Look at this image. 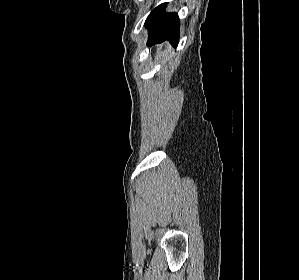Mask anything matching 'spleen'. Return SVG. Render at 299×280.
<instances>
[{
  "instance_id": "spleen-1",
  "label": "spleen",
  "mask_w": 299,
  "mask_h": 280,
  "mask_svg": "<svg viewBox=\"0 0 299 280\" xmlns=\"http://www.w3.org/2000/svg\"><path fill=\"white\" fill-rule=\"evenodd\" d=\"M166 55H167V54H164V53H163V55H162V56H163V57H165Z\"/></svg>"
}]
</instances>
